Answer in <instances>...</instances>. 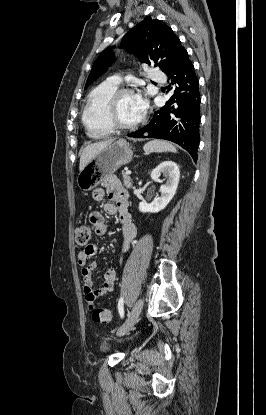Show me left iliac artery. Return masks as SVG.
<instances>
[{"label":"left iliac artery","instance_id":"left-iliac-artery-1","mask_svg":"<svg viewBox=\"0 0 266 415\" xmlns=\"http://www.w3.org/2000/svg\"><path fill=\"white\" fill-rule=\"evenodd\" d=\"M123 305H124V299H123V297H121L119 299V302H118V311H119V314H120L121 318L124 317V307H123Z\"/></svg>","mask_w":266,"mask_h":415}]
</instances>
